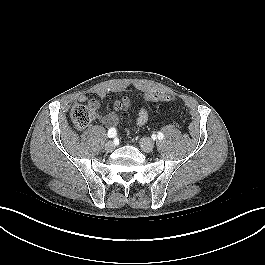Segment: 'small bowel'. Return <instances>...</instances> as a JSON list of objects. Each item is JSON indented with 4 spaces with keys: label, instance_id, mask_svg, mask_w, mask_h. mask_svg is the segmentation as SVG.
<instances>
[{
    "label": "small bowel",
    "instance_id": "c3829d8e",
    "mask_svg": "<svg viewBox=\"0 0 265 265\" xmlns=\"http://www.w3.org/2000/svg\"><path fill=\"white\" fill-rule=\"evenodd\" d=\"M147 95H148V93L145 94V100H147L146 99ZM159 95L162 96L163 94H159ZM100 96H102V95L100 94ZM163 96H165V95H163ZM78 100L81 102L89 101V103L93 104L95 107L99 106V103L96 99H90L89 100L88 97L85 95L79 96ZM151 102H162V101H151ZM121 104H122L121 110L127 111L131 107L132 101L130 98L125 97V98H123ZM148 119H149V113H148L147 109L144 107H140L138 109V112H137V119H136L137 125L138 126L145 125L148 122ZM99 120L102 124H104L106 126H113V125H116L118 123L119 116L115 112H110L108 114L100 116Z\"/></svg>",
    "mask_w": 265,
    "mask_h": 265
}]
</instances>
